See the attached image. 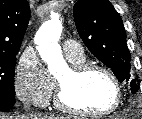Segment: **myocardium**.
I'll return each instance as SVG.
<instances>
[{
    "label": "myocardium",
    "instance_id": "myocardium-1",
    "mask_svg": "<svg viewBox=\"0 0 142 119\" xmlns=\"http://www.w3.org/2000/svg\"><path fill=\"white\" fill-rule=\"evenodd\" d=\"M93 71L103 73L113 84L115 90V99L113 104L108 109L100 112H89L73 105L66 96L65 83L58 79L56 80V91L54 99L55 105L65 112L85 117H104L114 113L122 102V88L117 77L108 68L101 64L84 62L80 64H73L69 68V75L71 79L77 80Z\"/></svg>",
    "mask_w": 142,
    "mask_h": 119
}]
</instances>
